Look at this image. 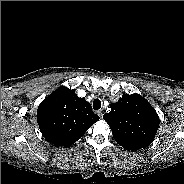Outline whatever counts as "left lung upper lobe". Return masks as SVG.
I'll list each match as a JSON object with an SVG mask.
<instances>
[{
  "label": "left lung upper lobe",
  "mask_w": 184,
  "mask_h": 184,
  "mask_svg": "<svg viewBox=\"0 0 184 184\" xmlns=\"http://www.w3.org/2000/svg\"><path fill=\"white\" fill-rule=\"evenodd\" d=\"M111 111L103 119L112 130L114 139L127 150L148 146L159 128V116L150 103L139 94H124L110 104Z\"/></svg>",
  "instance_id": "obj_1"
}]
</instances>
